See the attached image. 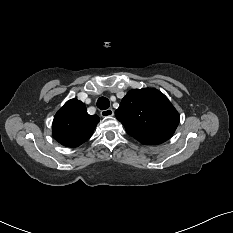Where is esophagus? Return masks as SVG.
<instances>
[{"mask_svg": "<svg viewBox=\"0 0 233 233\" xmlns=\"http://www.w3.org/2000/svg\"><path fill=\"white\" fill-rule=\"evenodd\" d=\"M100 115L103 117V118H107V117H111L114 115V111L113 109L109 108V109H106V110H102L100 112Z\"/></svg>", "mask_w": 233, "mask_h": 233, "instance_id": "esophagus-1", "label": "esophagus"}]
</instances>
